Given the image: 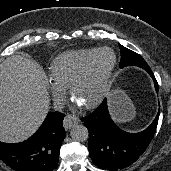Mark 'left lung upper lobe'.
<instances>
[{
	"label": "left lung upper lobe",
	"mask_w": 171,
	"mask_h": 171,
	"mask_svg": "<svg viewBox=\"0 0 171 171\" xmlns=\"http://www.w3.org/2000/svg\"><path fill=\"white\" fill-rule=\"evenodd\" d=\"M121 50V60H120V67L123 68L125 66L135 65L139 66L146 71L150 69L146 61L134 51L129 50L128 48L119 44Z\"/></svg>",
	"instance_id": "1"
}]
</instances>
